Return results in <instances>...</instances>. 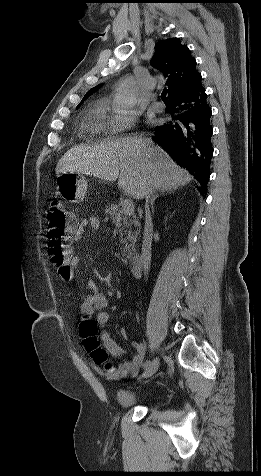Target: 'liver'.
Instances as JSON below:
<instances>
[{
  "label": "liver",
  "instance_id": "obj_1",
  "mask_svg": "<svg viewBox=\"0 0 261 476\" xmlns=\"http://www.w3.org/2000/svg\"><path fill=\"white\" fill-rule=\"evenodd\" d=\"M55 171L57 175L76 172L109 182L118 180V187L138 200L144 197L147 183L153 191L164 192L193 180L160 146L136 134L71 148L59 160Z\"/></svg>",
  "mask_w": 261,
  "mask_h": 476
}]
</instances>
